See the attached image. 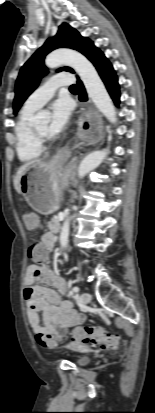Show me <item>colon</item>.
<instances>
[{"label":"colon","mask_w":155,"mask_h":413,"mask_svg":"<svg viewBox=\"0 0 155 413\" xmlns=\"http://www.w3.org/2000/svg\"><path fill=\"white\" fill-rule=\"evenodd\" d=\"M30 258L37 262L42 263L46 259V251L43 245L36 243L29 251ZM73 348L80 349L88 344L100 345L104 349H115L118 345V337L102 327L97 326H84L74 331L73 335ZM37 342L45 348H53L55 341L47 338L40 337Z\"/></svg>","instance_id":"obj_1"}]
</instances>
